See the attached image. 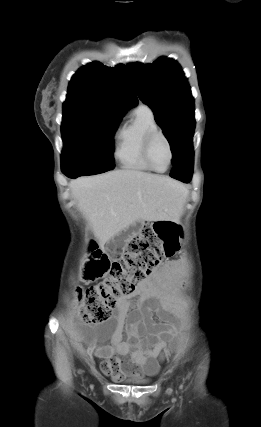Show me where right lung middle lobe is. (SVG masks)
I'll list each match as a JSON object with an SVG mask.
<instances>
[{
	"label": "right lung middle lobe",
	"instance_id": "1",
	"mask_svg": "<svg viewBox=\"0 0 261 427\" xmlns=\"http://www.w3.org/2000/svg\"><path fill=\"white\" fill-rule=\"evenodd\" d=\"M120 120V117L89 111L63 113L62 172L80 176L113 169V135Z\"/></svg>",
	"mask_w": 261,
	"mask_h": 427
}]
</instances>
